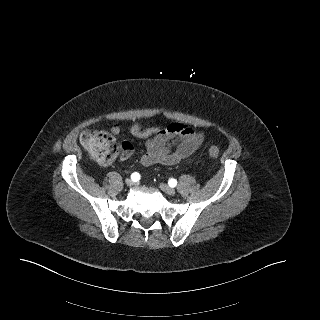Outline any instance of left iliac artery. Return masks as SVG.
I'll return each mask as SVG.
<instances>
[{"label": "left iliac artery", "instance_id": "1", "mask_svg": "<svg viewBox=\"0 0 320 320\" xmlns=\"http://www.w3.org/2000/svg\"><path fill=\"white\" fill-rule=\"evenodd\" d=\"M169 186L175 187L177 185V180L175 179H170L168 182Z\"/></svg>", "mask_w": 320, "mask_h": 320}]
</instances>
